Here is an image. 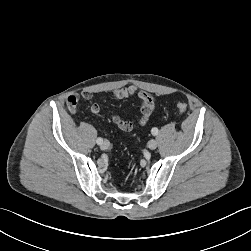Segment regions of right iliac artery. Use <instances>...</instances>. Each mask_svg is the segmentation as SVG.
Instances as JSON below:
<instances>
[{"label": "right iliac artery", "mask_w": 251, "mask_h": 251, "mask_svg": "<svg viewBox=\"0 0 251 251\" xmlns=\"http://www.w3.org/2000/svg\"><path fill=\"white\" fill-rule=\"evenodd\" d=\"M96 142H97V144H99V145H100V144H102V143H103V139L99 137V138H97Z\"/></svg>", "instance_id": "1"}]
</instances>
